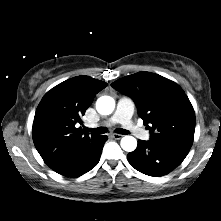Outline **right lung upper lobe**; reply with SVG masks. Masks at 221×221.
<instances>
[{
    "label": "right lung upper lobe",
    "instance_id": "right-lung-upper-lobe-1",
    "mask_svg": "<svg viewBox=\"0 0 221 221\" xmlns=\"http://www.w3.org/2000/svg\"><path fill=\"white\" fill-rule=\"evenodd\" d=\"M106 86L82 75L60 83L42 98L32 135L37 151L52 170L65 171L96 145L101 135H89L78 125L96 94Z\"/></svg>",
    "mask_w": 221,
    "mask_h": 221
}]
</instances>
